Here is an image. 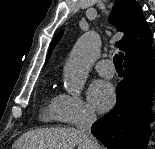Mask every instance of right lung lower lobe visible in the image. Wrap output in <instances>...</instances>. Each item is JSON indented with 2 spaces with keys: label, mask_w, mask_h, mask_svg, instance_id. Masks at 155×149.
Instances as JSON below:
<instances>
[{
  "label": "right lung lower lobe",
  "mask_w": 155,
  "mask_h": 149,
  "mask_svg": "<svg viewBox=\"0 0 155 149\" xmlns=\"http://www.w3.org/2000/svg\"><path fill=\"white\" fill-rule=\"evenodd\" d=\"M116 106L92 125V134L108 149H143L152 120L150 103L155 87L153 56L124 64Z\"/></svg>",
  "instance_id": "98d812e1"
}]
</instances>
